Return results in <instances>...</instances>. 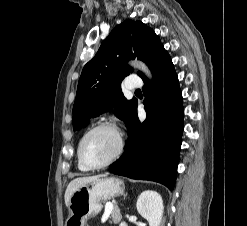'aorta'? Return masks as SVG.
<instances>
[{"instance_id": "762f6f07", "label": "aorta", "mask_w": 247, "mask_h": 226, "mask_svg": "<svg viewBox=\"0 0 247 226\" xmlns=\"http://www.w3.org/2000/svg\"><path fill=\"white\" fill-rule=\"evenodd\" d=\"M131 65H133L134 67H138L139 69H141L147 76L151 77L150 71L149 69L146 67L145 64H143L142 62H132Z\"/></svg>"}]
</instances>
